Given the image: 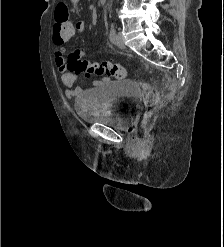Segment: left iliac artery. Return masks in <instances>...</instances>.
I'll return each mask as SVG.
<instances>
[{
    "mask_svg": "<svg viewBox=\"0 0 224 247\" xmlns=\"http://www.w3.org/2000/svg\"><path fill=\"white\" fill-rule=\"evenodd\" d=\"M110 41L112 43H115L116 40V29L114 23H111V29H110V34H109Z\"/></svg>",
    "mask_w": 224,
    "mask_h": 247,
    "instance_id": "1",
    "label": "left iliac artery"
}]
</instances>
